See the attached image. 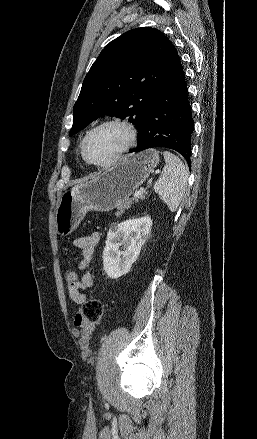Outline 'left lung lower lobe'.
Instances as JSON below:
<instances>
[{
  "instance_id": "1",
  "label": "left lung lower lobe",
  "mask_w": 257,
  "mask_h": 439,
  "mask_svg": "<svg viewBox=\"0 0 257 439\" xmlns=\"http://www.w3.org/2000/svg\"><path fill=\"white\" fill-rule=\"evenodd\" d=\"M194 121L188 100V88L180 59L157 90L140 125L136 149L169 148L179 152L191 166V138Z\"/></svg>"
}]
</instances>
